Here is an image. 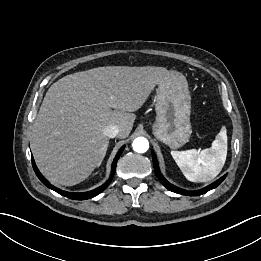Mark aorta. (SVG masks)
<instances>
[{
	"instance_id": "762f6f07",
	"label": "aorta",
	"mask_w": 261,
	"mask_h": 261,
	"mask_svg": "<svg viewBox=\"0 0 261 261\" xmlns=\"http://www.w3.org/2000/svg\"><path fill=\"white\" fill-rule=\"evenodd\" d=\"M132 146L135 152L144 153L149 149V142L144 137H137L134 139Z\"/></svg>"
}]
</instances>
